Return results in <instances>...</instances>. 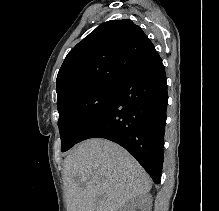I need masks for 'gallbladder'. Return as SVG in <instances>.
<instances>
[{
	"label": "gallbladder",
	"mask_w": 219,
	"mask_h": 211,
	"mask_svg": "<svg viewBox=\"0 0 219 211\" xmlns=\"http://www.w3.org/2000/svg\"><path fill=\"white\" fill-rule=\"evenodd\" d=\"M101 197H102V199H103L104 195H101Z\"/></svg>",
	"instance_id": "obj_1"
}]
</instances>
